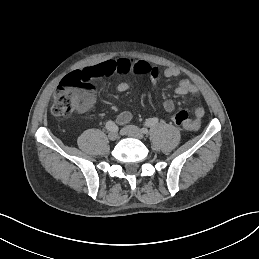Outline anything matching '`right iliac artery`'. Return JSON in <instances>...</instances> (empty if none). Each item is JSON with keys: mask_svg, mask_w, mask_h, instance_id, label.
Masks as SVG:
<instances>
[{"mask_svg": "<svg viewBox=\"0 0 259 259\" xmlns=\"http://www.w3.org/2000/svg\"><path fill=\"white\" fill-rule=\"evenodd\" d=\"M106 129L109 131H115L117 129V127L113 121H108L106 123Z\"/></svg>", "mask_w": 259, "mask_h": 259, "instance_id": "82829eb1", "label": "right iliac artery"}]
</instances>
